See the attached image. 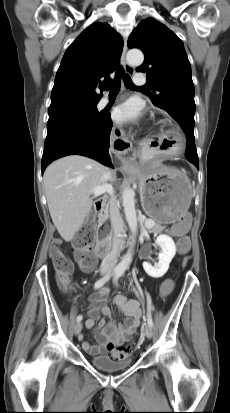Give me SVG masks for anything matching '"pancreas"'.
I'll list each match as a JSON object with an SVG mask.
<instances>
[{"label": "pancreas", "mask_w": 230, "mask_h": 413, "mask_svg": "<svg viewBox=\"0 0 230 413\" xmlns=\"http://www.w3.org/2000/svg\"><path fill=\"white\" fill-rule=\"evenodd\" d=\"M104 216H107L108 215V207H106L104 210ZM166 227L165 226H162V225H160V224H154V226L152 227V229H151V231L152 232H161V231H163L164 229H165Z\"/></svg>", "instance_id": "pancreas-1"}]
</instances>
